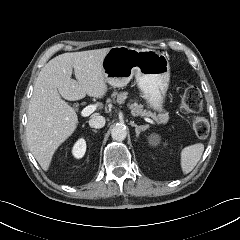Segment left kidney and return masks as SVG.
<instances>
[{"instance_id": "5707ae66", "label": "left kidney", "mask_w": 240, "mask_h": 240, "mask_svg": "<svg viewBox=\"0 0 240 240\" xmlns=\"http://www.w3.org/2000/svg\"><path fill=\"white\" fill-rule=\"evenodd\" d=\"M149 143H150V145H152V146H157V145L160 143V137H159V135H157V134H152V135L149 137Z\"/></svg>"}]
</instances>
